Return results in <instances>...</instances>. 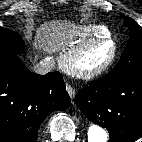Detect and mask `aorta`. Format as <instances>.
Listing matches in <instances>:
<instances>
[{
	"instance_id": "aorta-1",
	"label": "aorta",
	"mask_w": 142,
	"mask_h": 142,
	"mask_svg": "<svg viewBox=\"0 0 142 142\" xmlns=\"http://www.w3.org/2000/svg\"><path fill=\"white\" fill-rule=\"evenodd\" d=\"M107 132L97 124H90L88 128V142H107Z\"/></svg>"
}]
</instances>
